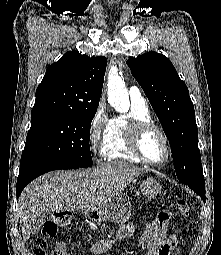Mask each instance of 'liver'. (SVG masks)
Wrapping results in <instances>:
<instances>
[{
    "instance_id": "1",
    "label": "liver",
    "mask_w": 221,
    "mask_h": 255,
    "mask_svg": "<svg viewBox=\"0 0 221 255\" xmlns=\"http://www.w3.org/2000/svg\"><path fill=\"white\" fill-rule=\"evenodd\" d=\"M145 172L125 162H107L92 169L54 171L37 178L19 197L18 214L24 241L30 238L38 216L76 210L88 214L99 210Z\"/></svg>"
}]
</instances>
